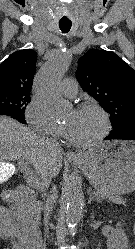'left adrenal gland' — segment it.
<instances>
[{"label": "left adrenal gland", "mask_w": 135, "mask_h": 249, "mask_svg": "<svg viewBox=\"0 0 135 249\" xmlns=\"http://www.w3.org/2000/svg\"><path fill=\"white\" fill-rule=\"evenodd\" d=\"M94 200H96L97 202H101L100 199L94 198V197H92L91 194H89L88 204H91V202L94 201Z\"/></svg>", "instance_id": "left-adrenal-gland-1"}]
</instances>
